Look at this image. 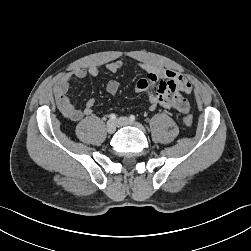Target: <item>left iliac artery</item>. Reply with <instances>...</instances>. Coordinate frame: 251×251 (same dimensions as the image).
<instances>
[{
  "label": "left iliac artery",
  "mask_w": 251,
  "mask_h": 251,
  "mask_svg": "<svg viewBox=\"0 0 251 251\" xmlns=\"http://www.w3.org/2000/svg\"><path fill=\"white\" fill-rule=\"evenodd\" d=\"M129 119H130L131 121H134V120H135V116H134V115H130Z\"/></svg>",
  "instance_id": "44dca946"
}]
</instances>
